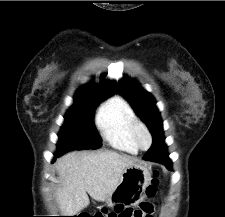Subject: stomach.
I'll list each match as a JSON object with an SVG mask.
<instances>
[{"label":"stomach","instance_id":"obj_1","mask_svg":"<svg viewBox=\"0 0 225 217\" xmlns=\"http://www.w3.org/2000/svg\"><path fill=\"white\" fill-rule=\"evenodd\" d=\"M148 180H149V171L147 170V168L141 164L135 163L125 168L117 188L142 186L146 184ZM111 198L112 196L107 200L110 203L112 202Z\"/></svg>","mask_w":225,"mask_h":217}]
</instances>
